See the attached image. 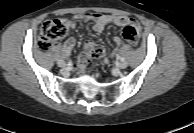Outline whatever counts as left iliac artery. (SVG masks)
<instances>
[{
  "instance_id": "1",
  "label": "left iliac artery",
  "mask_w": 194,
  "mask_h": 133,
  "mask_svg": "<svg viewBox=\"0 0 194 133\" xmlns=\"http://www.w3.org/2000/svg\"><path fill=\"white\" fill-rule=\"evenodd\" d=\"M117 59L118 60H121V61H124V58L123 57H120V56H117Z\"/></svg>"
}]
</instances>
